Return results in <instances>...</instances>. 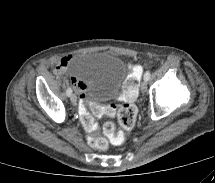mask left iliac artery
I'll return each mask as SVG.
<instances>
[{
	"label": "left iliac artery",
	"mask_w": 215,
	"mask_h": 183,
	"mask_svg": "<svg viewBox=\"0 0 215 183\" xmlns=\"http://www.w3.org/2000/svg\"><path fill=\"white\" fill-rule=\"evenodd\" d=\"M150 75H151L150 71H146V73H145V75H144V79H145L146 81H148V80L150 79Z\"/></svg>",
	"instance_id": "left-iliac-artery-1"
}]
</instances>
